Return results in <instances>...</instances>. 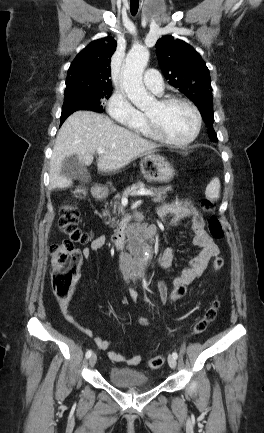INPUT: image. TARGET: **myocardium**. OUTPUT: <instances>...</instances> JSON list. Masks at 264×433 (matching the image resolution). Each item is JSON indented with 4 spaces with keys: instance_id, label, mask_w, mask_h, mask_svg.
<instances>
[{
    "instance_id": "1",
    "label": "myocardium",
    "mask_w": 264,
    "mask_h": 433,
    "mask_svg": "<svg viewBox=\"0 0 264 433\" xmlns=\"http://www.w3.org/2000/svg\"><path fill=\"white\" fill-rule=\"evenodd\" d=\"M183 104L186 107H188L194 117H195V129L193 131V133L185 140L183 141H176L171 139L170 137H168L162 130V128L160 127L159 123L150 115H148L147 113H145V119L148 125V128L151 132V134L153 135V137H155L156 139H158L159 141L174 146V147H178V148H184L189 146L190 144H192L197 137L200 134L201 128H202V116L200 111L198 110V108L189 100L182 98V97H178V96H170V97H165V98H161L157 100V104L160 107H167L169 105L172 104Z\"/></svg>"
}]
</instances>
